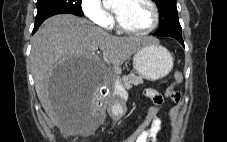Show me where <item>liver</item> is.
Here are the masks:
<instances>
[{
	"mask_svg": "<svg viewBox=\"0 0 227 142\" xmlns=\"http://www.w3.org/2000/svg\"><path fill=\"white\" fill-rule=\"evenodd\" d=\"M157 39L146 36H114L72 14L46 19L31 40V69L40 103L51 120L64 133H82L85 124L96 115L97 89L103 79L94 71L98 48L115 67L122 65L139 48ZM58 61H93L87 88H52L54 65Z\"/></svg>",
	"mask_w": 227,
	"mask_h": 142,
	"instance_id": "6515ba94",
	"label": "liver"
}]
</instances>
